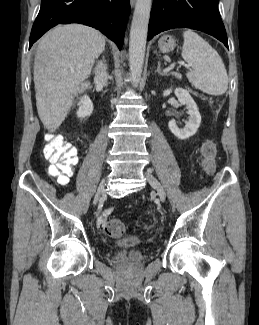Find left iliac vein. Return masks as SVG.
<instances>
[{
	"label": "left iliac vein",
	"instance_id": "1",
	"mask_svg": "<svg viewBox=\"0 0 259 325\" xmlns=\"http://www.w3.org/2000/svg\"><path fill=\"white\" fill-rule=\"evenodd\" d=\"M146 178L148 180V182L150 183V185L153 187V189L157 192L159 198L162 201H165L166 199V194L165 191L162 187V185L160 184V182L152 175L151 172H146Z\"/></svg>",
	"mask_w": 259,
	"mask_h": 325
}]
</instances>
